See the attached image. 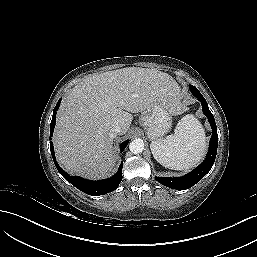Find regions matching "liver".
Listing matches in <instances>:
<instances>
[{"mask_svg":"<svg viewBox=\"0 0 257 257\" xmlns=\"http://www.w3.org/2000/svg\"><path fill=\"white\" fill-rule=\"evenodd\" d=\"M178 85L156 69L127 67L84 79L63 99L53 136L56 157L69 173L101 178L115 166L117 157L111 129L126 134L133 116L161 101L169 111L183 112Z\"/></svg>","mask_w":257,"mask_h":257,"instance_id":"1","label":"liver"}]
</instances>
